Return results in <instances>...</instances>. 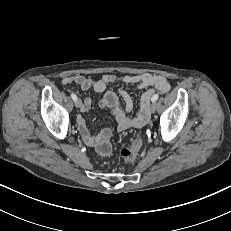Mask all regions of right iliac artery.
<instances>
[{
  "label": "right iliac artery",
  "instance_id": "right-iliac-artery-1",
  "mask_svg": "<svg viewBox=\"0 0 231 231\" xmlns=\"http://www.w3.org/2000/svg\"><path fill=\"white\" fill-rule=\"evenodd\" d=\"M71 98H72L74 101L77 100V96H76L74 93L71 94Z\"/></svg>",
  "mask_w": 231,
  "mask_h": 231
}]
</instances>
